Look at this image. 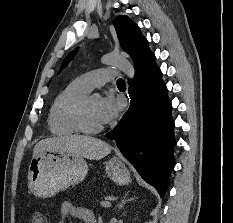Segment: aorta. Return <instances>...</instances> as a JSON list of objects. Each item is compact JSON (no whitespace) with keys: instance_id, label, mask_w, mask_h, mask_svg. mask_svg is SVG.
<instances>
[{"instance_id":"aorta-1","label":"aorta","mask_w":233,"mask_h":223,"mask_svg":"<svg viewBox=\"0 0 233 223\" xmlns=\"http://www.w3.org/2000/svg\"><path fill=\"white\" fill-rule=\"evenodd\" d=\"M102 64H107V66H115V68H119V70L125 72L128 78H134L135 76V70L132 64H130L126 58H123V56H113V54H110V56H103ZM93 96L94 98H100L99 94H93Z\"/></svg>"}]
</instances>
